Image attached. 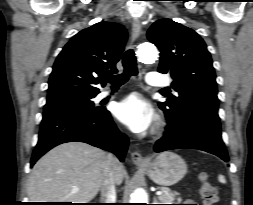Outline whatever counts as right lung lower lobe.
<instances>
[{
	"instance_id": "98d812e1",
	"label": "right lung lower lobe",
	"mask_w": 253,
	"mask_h": 205,
	"mask_svg": "<svg viewBox=\"0 0 253 205\" xmlns=\"http://www.w3.org/2000/svg\"><path fill=\"white\" fill-rule=\"evenodd\" d=\"M85 142L111 151L123 162L128 138L114 124L106 108L94 113L71 110L43 113L39 140L31 159V166L51 148L66 142Z\"/></svg>"
}]
</instances>
